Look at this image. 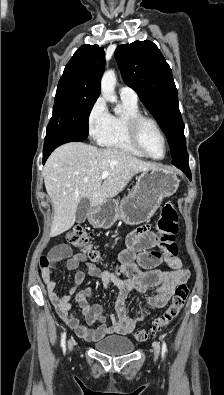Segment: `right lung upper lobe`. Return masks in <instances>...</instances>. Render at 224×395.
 I'll return each mask as SVG.
<instances>
[{"instance_id":"1","label":"right lung upper lobe","mask_w":224,"mask_h":395,"mask_svg":"<svg viewBox=\"0 0 224 395\" xmlns=\"http://www.w3.org/2000/svg\"><path fill=\"white\" fill-rule=\"evenodd\" d=\"M105 53L98 45H82L66 65L59 85L100 94Z\"/></svg>"}]
</instances>
